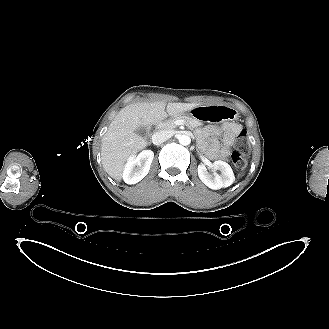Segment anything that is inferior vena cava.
Here are the masks:
<instances>
[{
    "mask_svg": "<svg viewBox=\"0 0 329 329\" xmlns=\"http://www.w3.org/2000/svg\"><path fill=\"white\" fill-rule=\"evenodd\" d=\"M171 137V134L169 131L166 130H160L153 134L152 136V142L155 145H160L163 142L167 141Z\"/></svg>",
    "mask_w": 329,
    "mask_h": 329,
    "instance_id": "obj_1",
    "label": "inferior vena cava"
}]
</instances>
